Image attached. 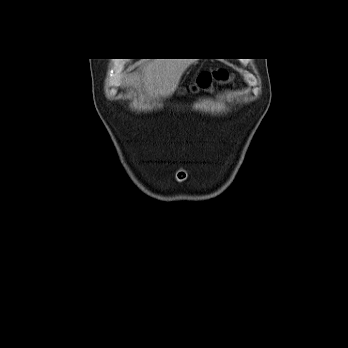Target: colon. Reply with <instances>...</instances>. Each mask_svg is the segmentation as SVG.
Wrapping results in <instances>:
<instances>
[{
  "mask_svg": "<svg viewBox=\"0 0 348 348\" xmlns=\"http://www.w3.org/2000/svg\"><path fill=\"white\" fill-rule=\"evenodd\" d=\"M229 74L224 69H218L214 71L203 72L197 78V81L194 85V89H204L209 87L215 82H223L228 80Z\"/></svg>",
  "mask_w": 348,
  "mask_h": 348,
  "instance_id": "1",
  "label": "colon"
}]
</instances>
